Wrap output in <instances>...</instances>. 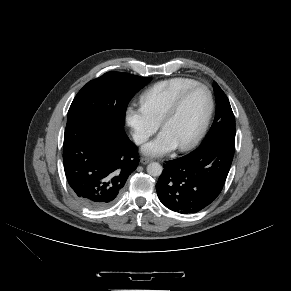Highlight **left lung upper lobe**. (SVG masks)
Segmentation results:
<instances>
[{
  "mask_svg": "<svg viewBox=\"0 0 291 291\" xmlns=\"http://www.w3.org/2000/svg\"><path fill=\"white\" fill-rule=\"evenodd\" d=\"M213 89L216 98V116L200 146L221 139L235 141V118L229 100L216 82L213 83Z\"/></svg>",
  "mask_w": 291,
  "mask_h": 291,
  "instance_id": "5c2ea615",
  "label": "left lung upper lobe"
}]
</instances>
